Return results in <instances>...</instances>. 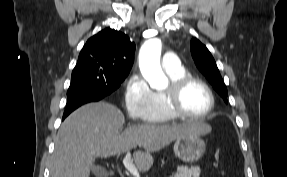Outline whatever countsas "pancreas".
<instances>
[{
	"label": "pancreas",
	"mask_w": 287,
	"mask_h": 177,
	"mask_svg": "<svg viewBox=\"0 0 287 177\" xmlns=\"http://www.w3.org/2000/svg\"><path fill=\"white\" fill-rule=\"evenodd\" d=\"M201 170L199 167L179 166L176 177H199Z\"/></svg>",
	"instance_id": "obj_1"
}]
</instances>
